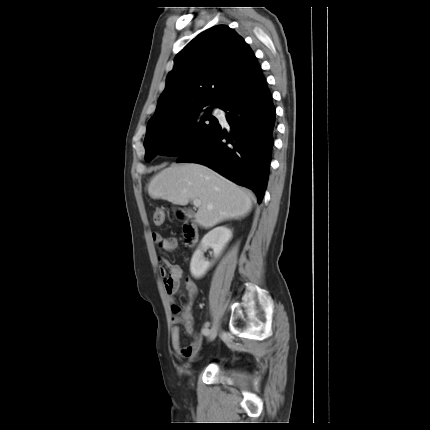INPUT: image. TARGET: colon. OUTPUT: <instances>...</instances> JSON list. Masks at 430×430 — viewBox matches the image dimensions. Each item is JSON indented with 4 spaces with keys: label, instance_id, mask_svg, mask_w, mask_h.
<instances>
[{
    "label": "colon",
    "instance_id": "1",
    "mask_svg": "<svg viewBox=\"0 0 430 430\" xmlns=\"http://www.w3.org/2000/svg\"><path fill=\"white\" fill-rule=\"evenodd\" d=\"M153 221L156 225H162L165 221V212L163 209L158 208L154 211L153 214ZM172 311L174 314H180L181 312V307L177 304H174L172 306Z\"/></svg>",
    "mask_w": 430,
    "mask_h": 430
}]
</instances>
